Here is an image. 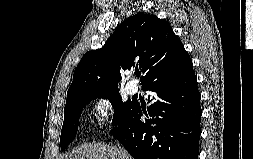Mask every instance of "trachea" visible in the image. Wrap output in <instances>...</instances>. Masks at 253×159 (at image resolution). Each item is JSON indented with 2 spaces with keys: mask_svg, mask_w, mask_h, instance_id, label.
<instances>
[{
  "mask_svg": "<svg viewBox=\"0 0 253 159\" xmlns=\"http://www.w3.org/2000/svg\"><path fill=\"white\" fill-rule=\"evenodd\" d=\"M135 75H136V76H139V75H140V72H139V71H135Z\"/></svg>",
  "mask_w": 253,
  "mask_h": 159,
  "instance_id": "trachea-1",
  "label": "trachea"
}]
</instances>
